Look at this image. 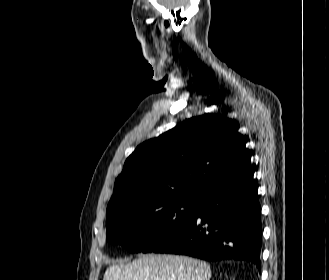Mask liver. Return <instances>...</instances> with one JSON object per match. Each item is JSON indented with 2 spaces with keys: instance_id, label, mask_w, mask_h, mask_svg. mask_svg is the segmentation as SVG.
<instances>
[{
  "instance_id": "liver-1",
  "label": "liver",
  "mask_w": 329,
  "mask_h": 280,
  "mask_svg": "<svg viewBox=\"0 0 329 280\" xmlns=\"http://www.w3.org/2000/svg\"><path fill=\"white\" fill-rule=\"evenodd\" d=\"M210 266L179 255H144L132 262L119 261L105 271L103 280H210Z\"/></svg>"
}]
</instances>
